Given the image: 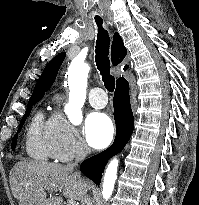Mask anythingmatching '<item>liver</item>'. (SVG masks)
<instances>
[{
	"label": "liver",
	"instance_id": "1",
	"mask_svg": "<svg viewBox=\"0 0 199 205\" xmlns=\"http://www.w3.org/2000/svg\"><path fill=\"white\" fill-rule=\"evenodd\" d=\"M9 179L19 205H61L62 199L52 196L57 191H63L68 200L82 202L89 187L79 173H73L67 166L33 160L15 164Z\"/></svg>",
	"mask_w": 199,
	"mask_h": 205
}]
</instances>
